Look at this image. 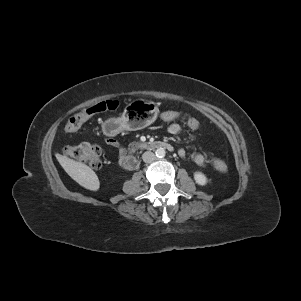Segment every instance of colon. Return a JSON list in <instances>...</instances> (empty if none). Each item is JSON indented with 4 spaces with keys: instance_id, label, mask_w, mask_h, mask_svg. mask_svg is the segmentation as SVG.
Returning <instances> with one entry per match:
<instances>
[{
    "instance_id": "1",
    "label": "colon",
    "mask_w": 301,
    "mask_h": 301,
    "mask_svg": "<svg viewBox=\"0 0 301 301\" xmlns=\"http://www.w3.org/2000/svg\"><path fill=\"white\" fill-rule=\"evenodd\" d=\"M118 107V102L113 100H106L96 103L85 110L75 113L67 122L65 130L66 132H75L78 130L84 121L96 113L115 110ZM158 113L165 114L168 119H178L183 114L178 111H172L167 105H158L156 107ZM185 116V115H184ZM187 124L193 129L197 130L200 128V121L194 116H187ZM63 154L69 158L76 159L84 162L92 168L98 169L102 165V151L101 149L93 144L80 143L74 145H68L63 149ZM213 167L219 172H226L227 166L223 161L213 159L211 161Z\"/></svg>"
}]
</instances>
